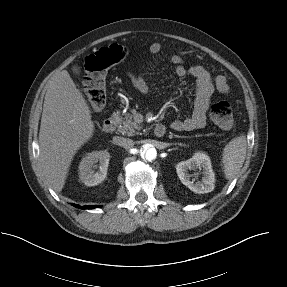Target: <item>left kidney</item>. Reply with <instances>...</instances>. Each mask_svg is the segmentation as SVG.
<instances>
[{
    "mask_svg": "<svg viewBox=\"0 0 287 287\" xmlns=\"http://www.w3.org/2000/svg\"><path fill=\"white\" fill-rule=\"evenodd\" d=\"M195 169L203 170L202 181H191L188 170ZM176 172L181 182L195 193H209L214 189L215 174L212 170L210 158L205 152L197 151L192 158L179 162L176 165Z\"/></svg>",
    "mask_w": 287,
    "mask_h": 287,
    "instance_id": "1",
    "label": "left kidney"
}]
</instances>
